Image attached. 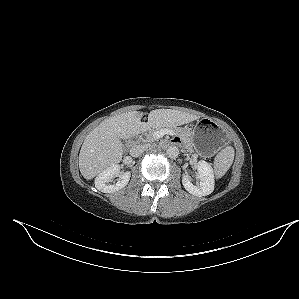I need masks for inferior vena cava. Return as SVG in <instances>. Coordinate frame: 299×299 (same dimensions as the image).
Wrapping results in <instances>:
<instances>
[{"label": "inferior vena cava", "instance_id": "obj_1", "mask_svg": "<svg viewBox=\"0 0 299 299\" xmlns=\"http://www.w3.org/2000/svg\"><path fill=\"white\" fill-rule=\"evenodd\" d=\"M147 148H148L147 145H142V144L134 145L130 149V155L132 157H139L147 150Z\"/></svg>", "mask_w": 299, "mask_h": 299}]
</instances>
